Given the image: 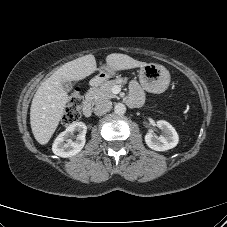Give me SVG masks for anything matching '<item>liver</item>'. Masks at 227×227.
I'll return each instance as SVG.
<instances>
[{
	"label": "liver",
	"instance_id": "6515ba94",
	"mask_svg": "<svg viewBox=\"0 0 227 227\" xmlns=\"http://www.w3.org/2000/svg\"><path fill=\"white\" fill-rule=\"evenodd\" d=\"M107 67L111 70H127L142 67L147 63L137 61L126 54L113 53L106 57ZM97 70L92 54L65 63L45 80L35 93L30 108L32 133L38 143L49 142L61 120L68 94L62 86L64 81L82 80Z\"/></svg>",
	"mask_w": 227,
	"mask_h": 227
}]
</instances>
